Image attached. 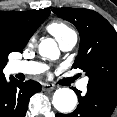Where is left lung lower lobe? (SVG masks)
Returning <instances> with one entry per match:
<instances>
[{"label": "left lung lower lobe", "mask_w": 117, "mask_h": 117, "mask_svg": "<svg viewBox=\"0 0 117 117\" xmlns=\"http://www.w3.org/2000/svg\"><path fill=\"white\" fill-rule=\"evenodd\" d=\"M78 95L79 105L71 114H56L55 117H110L117 104V91L100 87H87L85 96Z\"/></svg>", "instance_id": "obj_1"}]
</instances>
